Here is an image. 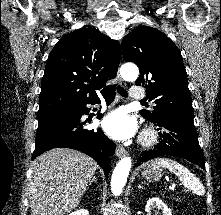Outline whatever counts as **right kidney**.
Listing matches in <instances>:
<instances>
[{"mask_svg":"<svg viewBox=\"0 0 221 215\" xmlns=\"http://www.w3.org/2000/svg\"><path fill=\"white\" fill-rule=\"evenodd\" d=\"M69 215H89V212L85 209H82V210H77L75 212H72Z\"/></svg>","mask_w":221,"mask_h":215,"instance_id":"obj_1","label":"right kidney"}]
</instances>
